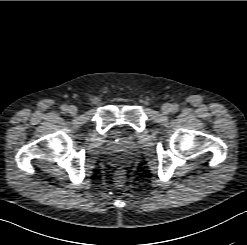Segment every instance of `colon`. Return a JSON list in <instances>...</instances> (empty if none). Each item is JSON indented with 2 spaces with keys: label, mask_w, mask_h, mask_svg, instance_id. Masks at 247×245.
Wrapping results in <instances>:
<instances>
[{
  "label": "colon",
  "mask_w": 247,
  "mask_h": 245,
  "mask_svg": "<svg viewBox=\"0 0 247 245\" xmlns=\"http://www.w3.org/2000/svg\"><path fill=\"white\" fill-rule=\"evenodd\" d=\"M125 180V175L122 171L118 172L117 175H116V182L119 184V185H122L123 182Z\"/></svg>",
  "instance_id": "1"
}]
</instances>
